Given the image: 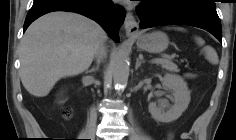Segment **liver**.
Returning a JSON list of instances; mask_svg holds the SVG:
<instances>
[{
  "instance_id": "6515ba94",
  "label": "liver",
  "mask_w": 236,
  "mask_h": 140,
  "mask_svg": "<svg viewBox=\"0 0 236 140\" xmlns=\"http://www.w3.org/2000/svg\"><path fill=\"white\" fill-rule=\"evenodd\" d=\"M107 35L77 13L52 12L34 21L20 44V78L33 96L45 97L57 81L87 70Z\"/></svg>"
}]
</instances>
